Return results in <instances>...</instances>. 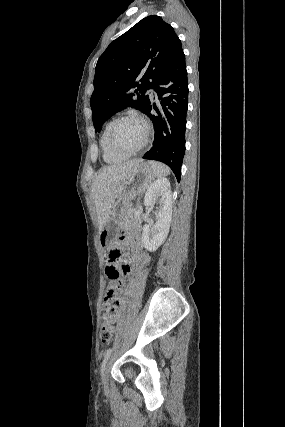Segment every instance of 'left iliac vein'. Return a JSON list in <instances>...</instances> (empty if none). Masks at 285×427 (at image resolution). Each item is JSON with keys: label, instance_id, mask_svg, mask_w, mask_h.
Segmentation results:
<instances>
[{"label": "left iliac vein", "instance_id": "left-iliac-vein-1", "mask_svg": "<svg viewBox=\"0 0 285 427\" xmlns=\"http://www.w3.org/2000/svg\"><path fill=\"white\" fill-rule=\"evenodd\" d=\"M107 369H108V365L106 366L105 371H104V377H103V383H104V384H107V379H106V376H107Z\"/></svg>", "mask_w": 285, "mask_h": 427}]
</instances>
